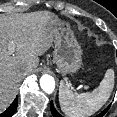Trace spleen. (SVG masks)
<instances>
[{
    "label": "spleen",
    "mask_w": 117,
    "mask_h": 117,
    "mask_svg": "<svg viewBox=\"0 0 117 117\" xmlns=\"http://www.w3.org/2000/svg\"><path fill=\"white\" fill-rule=\"evenodd\" d=\"M114 71L108 69L100 85L93 92L75 94L61 81L59 103L67 117H89L97 112L109 99L114 87Z\"/></svg>",
    "instance_id": "3e777b00"
}]
</instances>
